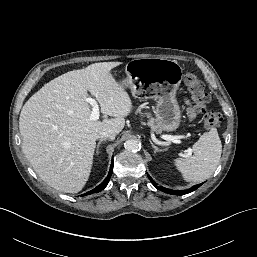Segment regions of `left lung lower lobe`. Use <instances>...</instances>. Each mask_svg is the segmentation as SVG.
I'll use <instances>...</instances> for the list:
<instances>
[{
	"label": "left lung lower lobe",
	"instance_id": "obj_1",
	"mask_svg": "<svg viewBox=\"0 0 257 257\" xmlns=\"http://www.w3.org/2000/svg\"><path fill=\"white\" fill-rule=\"evenodd\" d=\"M150 181L152 182V184L159 190L163 191V192H166V193H169V194H175V195H184V194H187V193H190L194 190H196L198 187H200V185H195L193 186L192 188L188 189V190H185V191H178V190H171V189H166V188H161V187H158L157 184L155 183V181L148 175Z\"/></svg>",
	"mask_w": 257,
	"mask_h": 257
}]
</instances>
